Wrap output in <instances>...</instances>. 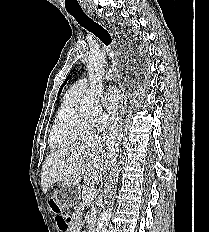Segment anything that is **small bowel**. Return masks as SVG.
Here are the masks:
<instances>
[{
  "mask_svg": "<svg viewBox=\"0 0 209 232\" xmlns=\"http://www.w3.org/2000/svg\"><path fill=\"white\" fill-rule=\"evenodd\" d=\"M80 228H81V217L79 213H76L72 218V220L70 221V223L68 224V226L61 230H65V232H80Z\"/></svg>",
  "mask_w": 209,
  "mask_h": 232,
  "instance_id": "small-bowel-1",
  "label": "small bowel"
}]
</instances>
